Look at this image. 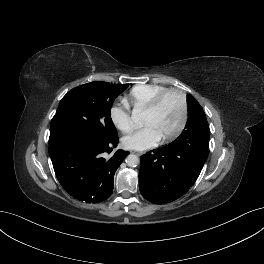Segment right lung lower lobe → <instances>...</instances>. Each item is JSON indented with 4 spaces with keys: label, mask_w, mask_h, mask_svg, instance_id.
<instances>
[{
    "label": "right lung lower lobe",
    "mask_w": 264,
    "mask_h": 264,
    "mask_svg": "<svg viewBox=\"0 0 264 264\" xmlns=\"http://www.w3.org/2000/svg\"><path fill=\"white\" fill-rule=\"evenodd\" d=\"M118 142V137L110 140L66 137L49 144L53 168L62 187L72 197L87 203L109 198L115 171L129 154L118 150L110 159L104 158Z\"/></svg>",
    "instance_id": "right-lung-lower-lobe-1"
}]
</instances>
